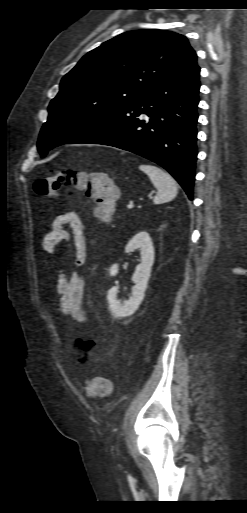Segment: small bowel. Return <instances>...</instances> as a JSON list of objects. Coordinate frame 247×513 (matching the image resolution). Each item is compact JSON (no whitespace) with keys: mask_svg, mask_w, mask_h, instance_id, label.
<instances>
[{"mask_svg":"<svg viewBox=\"0 0 247 513\" xmlns=\"http://www.w3.org/2000/svg\"><path fill=\"white\" fill-rule=\"evenodd\" d=\"M65 242L74 246L73 264L82 267L87 258L86 236L84 224L76 212L57 215L41 240V248L47 254L55 253ZM57 281L54 291L59 297V312L63 316H71L76 322L87 321L83 308L85 278L79 273L68 274L64 269H57ZM93 344L84 343V348Z\"/></svg>","mask_w":247,"mask_h":513,"instance_id":"c3829d8e","label":"small bowel"}]
</instances>
